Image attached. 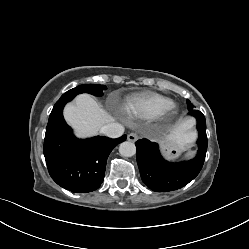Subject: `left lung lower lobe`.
Instances as JSON below:
<instances>
[{
  "label": "left lung lower lobe",
  "instance_id": "1",
  "mask_svg": "<svg viewBox=\"0 0 249 249\" xmlns=\"http://www.w3.org/2000/svg\"><path fill=\"white\" fill-rule=\"evenodd\" d=\"M197 119L199 138L195 158L180 163H170L163 159L158 144L147 139L138 140L137 163L143 182L153 191L167 192L187 185L200 172L207 151L206 121L198 110L189 113Z\"/></svg>",
  "mask_w": 249,
  "mask_h": 249
}]
</instances>
